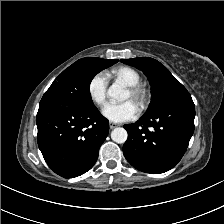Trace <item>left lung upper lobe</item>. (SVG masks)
Returning <instances> with one entry per match:
<instances>
[{
	"instance_id": "left-lung-upper-lobe-1",
	"label": "left lung upper lobe",
	"mask_w": 224,
	"mask_h": 224,
	"mask_svg": "<svg viewBox=\"0 0 224 224\" xmlns=\"http://www.w3.org/2000/svg\"><path fill=\"white\" fill-rule=\"evenodd\" d=\"M147 76L151 85V103L144 115H152L170 104L191 99L185 87L157 60L150 57L121 59Z\"/></svg>"
}]
</instances>
